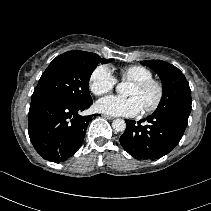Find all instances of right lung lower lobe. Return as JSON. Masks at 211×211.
<instances>
[{
	"label": "right lung lower lobe",
	"instance_id": "1",
	"mask_svg": "<svg viewBox=\"0 0 211 211\" xmlns=\"http://www.w3.org/2000/svg\"><path fill=\"white\" fill-rule=\"evenodd\" d=\"M92 103L73 106L51 100L31 101L28 133L41 157L59 163L75 154L93 116H81L79 112Z\"/></svg>",
	"mask_w": 211,
	"mask_h": 211
}]
</instances>
